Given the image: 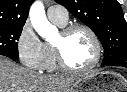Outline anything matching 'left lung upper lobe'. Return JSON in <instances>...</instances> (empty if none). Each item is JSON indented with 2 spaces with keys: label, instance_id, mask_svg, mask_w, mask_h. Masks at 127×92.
I'll return each mask as SVG.
<instances>
[{
  "label": "left lung upper lobe",
  "instance_id": "obj_1",
  "mask_svg": "<svg viewBox=\"0 0 127 92\" xmlns=\"http://www.w3.org/2000/svg\"><path fill=\"white\" fill-rule=\"evenodd\" d=\"M90 27L104 48V60L127 51V22L117 0H55Z\"/></svg>",
  "mask_w": 127,
  "mask_h": 92
}]
</instances>
